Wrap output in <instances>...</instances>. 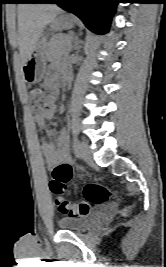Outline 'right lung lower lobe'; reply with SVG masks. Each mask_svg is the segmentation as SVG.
<instances>
[{
	"mask_svg": "<svg viewBox=\"0 0 166 267\" xmlns=\"http://www.w3.org/2000/svg\"><path fill=\"white\" fill-rule=\"evenodd\" d=\"M45 0H26V3H43Z\"/></svg>",
	"mask_w": 166,
	"mask_h": 267,
	"instance_id": "1",
	"label": "right lung lower lobe"
}]
</instances>
